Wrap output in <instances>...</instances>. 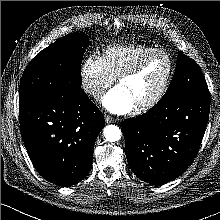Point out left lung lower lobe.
<instances>
[{"label":"left lung lower lobe","instance_id":"0a47b994","mask_svg":"<svg viewBox=\"0 0 220 220\" xmlns=\"http://www.w3.org/2000/svg\"><path fill=\"white\" fill-rule=\"evenodd\" d=\"M209 109V93H199L124 121L126 156L135 175L158 185L185 172L198 153Z\"/></svg>","mask_w":220,"mask_h":220}]
</instances>
